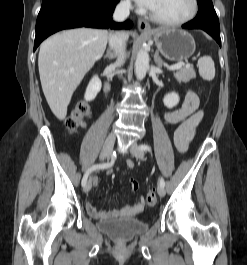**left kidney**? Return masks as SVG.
I'll list each match as a JSON object with an SVG mask.
<instances>
[{"mask_svg": "<svg viewBox=\"0 0 247 265\" xmlns=\"http://www.w3.org/2000/svg\"><path fill=\"white\" fill-rule=\"evenodd\" d=\"M163 103L169 109L175 107L179 103L178 94L175 92L166 94L163 98Z\"/></svg>", "mask_w": 247, "mask_h": 265, "instance_id": "obj_1", "label": "left kidney"}]
</instances>
